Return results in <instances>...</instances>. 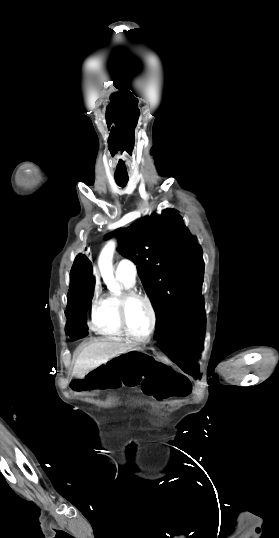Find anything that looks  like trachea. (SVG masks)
I'll use <instances>...</instances> for the list:
<instances>
[{
    "instance_id": "3493384b",
    "label": "trachea",
    "mask_w": 279,
    "mask_h": 538,
    "mask_svg": "<svg viewBox=\"0 0 279 538\" xmlns=\"http://www.w3.org/2000/svg\"><path fill=\"white\" fill-rule=\"evenodd\" d=\"M115 181L119 187H125L128 182V177L115 176Z\"/></svg>"
}]
</instances>
